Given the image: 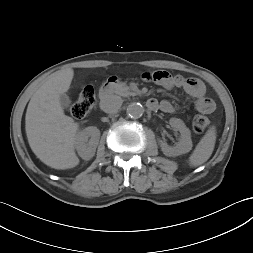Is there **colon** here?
<instances>
[{"instance_id": "obj_1", "label": "colon", "mask_w": 253, "mask_h": 253, "mask_svg": "<svg viewBox=\"0 0 253 253\" xmlns=\"http://www.w3.org/2000/svg\"><path fill=\"white\" fill-rule=\"evenodd\" d=\"M95 102L94 88L91 85L85 86L71 107L72 116L78 119L85 117L93 109ZM209 122V118L205 114H197L192 121L193 129L201 133L208 127Z\"/></svg>"}]
</instances>
